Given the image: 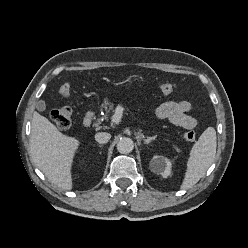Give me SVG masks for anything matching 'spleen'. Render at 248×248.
Segmentation results:
<instances>
[{"label": "spleen", "instance_id": "1", "mask_svg": "<svg viewBox=\"0 0 248 248\" xmlns=\"http://www.w3.org/2000/svg\"><path fill=\"white\" fill-rule=\"evenodd\" d=\"M216 131L208 127L193 145L181 189L194 186L206 173L216 154Z\"/></svg>", "mask_w": 248, "mask_h": 248}]
</instances>
